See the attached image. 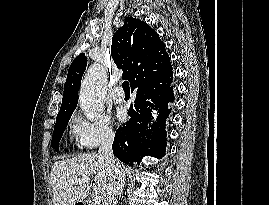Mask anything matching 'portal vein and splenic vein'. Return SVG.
Wrapping results in <instances>:
<instances>
[{
  "label": "portal vein and splenic vein",
  "instance_id": "obj_1",
  "mask_svg": "<svg viewBox=\"0 0 269 205\" xmlns=\"http://www.w3.org/2000/svg\"><path fill=\"white\" fill-rule=\"evenodd\" d=\"M90 181V178H81V179H76L73 180L71 182V184H84V183H88ZM94 203L97 205H100L101 201H102V195L101 194H95L94 195V199H93Z\"/></svg>",
  "mask_w": 269,
  "mask_h": 205
}]
</instances>
